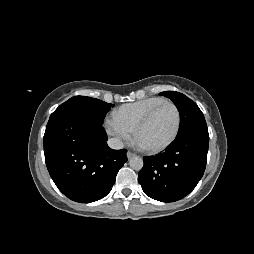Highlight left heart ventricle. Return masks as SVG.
Wrapping results in <instances>:
<instances>
[{
  "label": "left heart ventricle",
  "instance_id": "b2bd125f",
  "mask_svg": "<svg viewBox=\"0 0 254 254\" xmlns=\"http://www.w3.org/2000/svg\"><path fill=\"white\" fill-rule=\"evenodd\" d=\"M177 116L171 105H164L141 130L139 141L143 146L156 147L166 142L174 132Z\"/></svg>",
  "mask_w": 254,
  "mask_h": 254
}]
</instances>
